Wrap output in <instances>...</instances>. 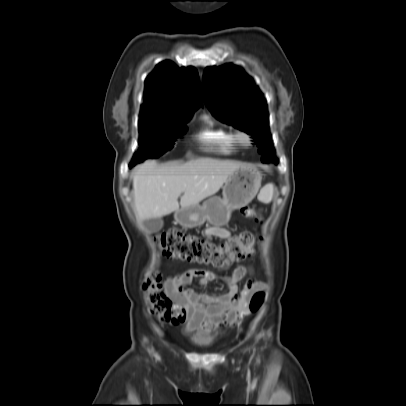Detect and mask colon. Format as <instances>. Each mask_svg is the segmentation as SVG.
I'll list each match as a JSON object with an SVG mask.
<instances>
[{
  "instance_id": "colon-1",
  "label": "colon",
  "mask_w": 406,
  "mask_h": 406,
  "mask_svg": "<svg viewBox=\"0 0 406 406\" xmlns=\"http://www.w3.org/2000/svg\"><path fill=\"white\" fill-rule=\"evenodd\" d=\"M246 218L262 220V214L250 206L241 208ZM156 241L163 257L168 260H180L191 263L225 267L245 260L254 255L255 238L251 233H241L230 237L223 244L217 245L202 238L181 231H165L157 235ZM144 289L153 314L161 319L170 316L171 302L166 296L162 277L159 272H151L146 279ZM264 302V294L257 292L249 301V311L256 313Z\"/></svg>"
}]
</instances>
